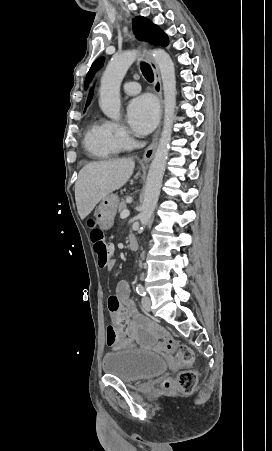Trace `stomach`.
Masks as SVG:
<instances>
[{"mask_svg":"<svg viewBox=\"0 0 272 451\" xmlns=\"http://www.w3.org/2000/svg\"><path fill=\"white\" fill-rule=\"evenodd\" d=\"M119 206V198L116 194H108L104 200L100 202L96 210L97 224L101 229H109L114 224L117 208Z\"/></svg>","mask_w":272,"mask_h":451,"instance_id":"stomach-1","label":"stomach"}]
</instances>
